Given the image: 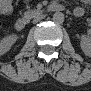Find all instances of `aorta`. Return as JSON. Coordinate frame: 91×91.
Instances as JSON below:
<instances>
[{
	"label": "aorta",
	"instance_id": "1",
	"mask_svg": "<svg viewBox=\"0 0 91 91\" xmlns=\"http://www.w3.org/2000/svg\"><path fill=\"white\" fill-rule=\"evenodd\" d=\"M64 19V14L62 12H55L53 14V21L57 24H62Z\"/></svg>",
	"mask_w": 91,
	"mask_h": 91
}]
</instances>
